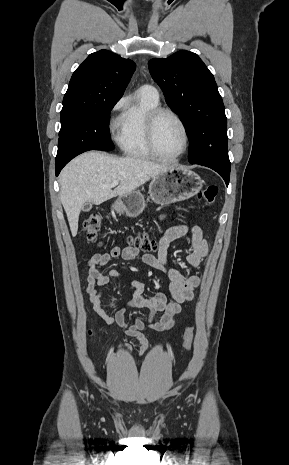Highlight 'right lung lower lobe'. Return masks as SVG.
Segmentation results:
<instances>
[{
  "instance_id": "obj_1",
  "label": "right lung lower lobe",
  "mask_w": 289,
  "mask_h": 465,
  "mask_svg": "<svg viewBox=\"0 0 289 465\" xmlns=\"http://www.w3.org/2000/svg\"><path fill=\"white\" fill-rule=\"evenodd\" d=\"M70 160H65V161H60V162H55V167H56V176L60 173L62 168L69 162Z\"/></svg>"
}]
</instances>
